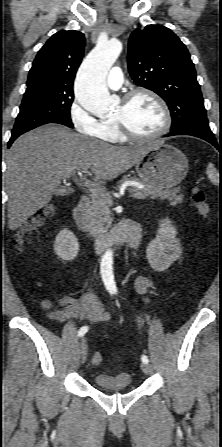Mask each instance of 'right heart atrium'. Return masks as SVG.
I'll use <instances>...</instances> for the list:
<instances>
[{"instance_id":"obj_1","label":"right heart atrium","mask_w":222,"mask_h":447,"mask_svg":"<svg viewBox=\"0 0 222 447\" xmlns=\"http://www.w3.org/2000/svg\"><path fill=\"white\" fill-rule=\"evenodd\" d=\"M69 117L75 130L84 135H96L99 121L83 109L78 101L69 109Z\"/></svg>"}]
</instances>
